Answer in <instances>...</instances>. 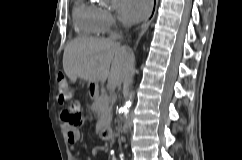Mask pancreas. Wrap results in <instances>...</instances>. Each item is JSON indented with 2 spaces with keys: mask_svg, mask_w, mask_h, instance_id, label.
I'll return each instance as SVG.
<instances>
[{
  "mask_svg": "<svg viewBox=\"0 0 242 160\" xmlns=\"http://www.w3.org/2000/svg\"><path fill=\"white\" fill-rule=\"evenodd\" d=\"M90 109L95 113L97 118L96 133L103 127L110 125L112 121V106L107 95L95 96Z\"/></svg>",
  "mask_w": 242,
  "mask_h": 160,
  "instance_id": "pancreas-1",
  "label": "pancreas"
}]
</instances>
